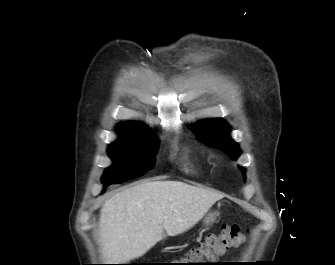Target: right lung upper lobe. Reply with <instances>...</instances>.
I'll return each mask as SVG.
<instances>
[{
	"instance_id": "obj_1",
	"label": "right lung upper lobe",
	"mask_w": 335,
	"mask_h": 265,
	"mask_svg": "<svg viewBox=\"0 0 335 265\" xmlns=\"http://www.w3.org/2000/svg\"><path fill=\"white\" fill-rule=\"evenodd\" d=\"M126 130L146 131L148 130V128L141 123H120L117 126L118 132Z\"/></svg>"
}]
</instances>
